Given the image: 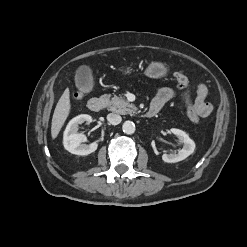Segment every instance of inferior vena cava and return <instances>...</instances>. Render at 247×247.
<instances>
[{"instance_id":"602c4592","label":"inferior vena cava","mask_w":247,"mask_h":247,"mask_svg":"<svg viewBox=\"0 0 247 247\" xmlns=\"http://www.w3.org/2000/svg\"><path fill=\"white\" fill-rule=\"evenodd\" d=\"M107 120L112 125H118L122 121V118L119 114L109 113L107 115Z\"/></svg>"}]
</instances>
